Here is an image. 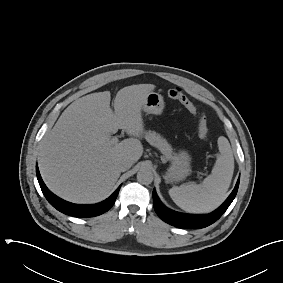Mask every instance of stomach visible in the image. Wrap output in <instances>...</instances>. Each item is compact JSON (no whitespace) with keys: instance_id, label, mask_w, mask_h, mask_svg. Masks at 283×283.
Wrapping results in <instances>:
<instances>
[{"instance_id":"1","label":"stomach","mask_w":283,"mask_h":283,"mask_svg":"<svg viewBox=\"0 0 283 283\" xmlns=\"http://www.w3.org/2000/svg\"><path fill=\"white\" fill-rule=\"evenodd\" d=\"M165 107L163 96L156 92H150L143 103L142 110L147 114H162ZM191 157L187 151H180L172 159V164L168 169L166 182H178L185 179L191 171Z\"/></svg>"}]
</instances>
